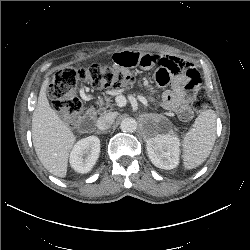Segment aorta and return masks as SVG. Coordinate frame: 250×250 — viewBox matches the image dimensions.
Listing matches in <instances>:
<instances>
[{
	"mask_svg": "<svg viewBox=\"0 0 250 250\" xmlns=\"http://www.w3.org/2000/svg\"><path fill=\"white\" fill-rule=\"evenodd\" d=\"M120 129L123 132L132 133L137 129V122L133 118H125L120 123Z\"/></svg>",
	"mask_w": 250,
	"mask_h": 250,
	"instance_id": "aorta-1",
	"label": "aorta"
}]
</instances>
